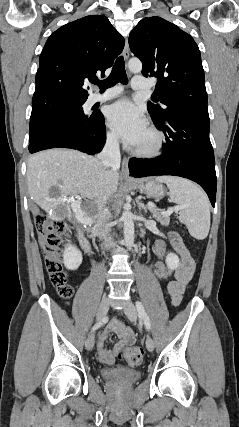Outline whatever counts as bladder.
I'll return each instance as SVG.
<instances>
[{
    "label": "bladder",
    "instance_id": "obj_1",
    "mask_svg": "<svg viewBox=\"0 0 239 427\" xmlns=\"http://www.w3.org/2000/svg\"><path fill=\"white\" fill-rule=\"evenodd\" d=\"M102 376L112 382H118L123 384H130L137 381L141 373L137 370L122 369V368H111L103 369L101 371Z\"/></svg>",
    "mask_w": 239,
    "mask_h": 427
}]
</instances>
